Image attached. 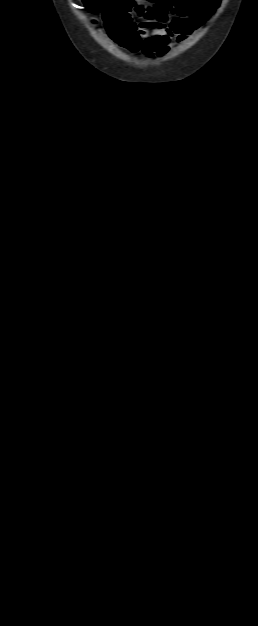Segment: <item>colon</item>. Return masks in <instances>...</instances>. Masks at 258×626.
I'll return each mask as SVG.
<instances>
[{
	"instance_id": "5ec220e1",
	"label": "colon",
	"mask_w": 258,
	"mask_h": 626,
	"mask_svg": "<svg viewBox=\"0 0 258 626\" xmlns=\"http://www.w3.org/2000/svg\"><path fill=\"white\" fill-rule=\"evenodd\" d=\"M103 1H104V0H97V1H93V0H84L85 4H86L88 7H90L92 10H95V11H99V10H101L102 5H103ZM130 27L132 28L133 26H130Z\"/></svg>"
}]
</instances>
